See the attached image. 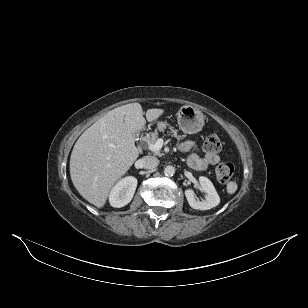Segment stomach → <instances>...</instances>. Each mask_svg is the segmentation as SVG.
I'll return each instance as SVG.
<instances>
[{"mask_svg":"<svg viewBox=\"0 0 308 308\" xmlns=\"http://www.w3.org/2000/svg\"><path fill=\"white\" fill-rule=\"evenodd\" d=\"M177 115L179 128L185 133L195 134L204 126L203 113L193 106L181 107Z\"/></svg>","mask_w":308,"mask_h":308,"instance_id":"obj_1","label":"stomach"}]
</instances>
